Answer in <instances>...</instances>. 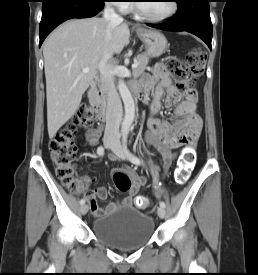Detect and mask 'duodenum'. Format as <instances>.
<instances>
[{
    "mask_svg": "<svg viewBox=\"0 0 258 275\" xmlns=\"http://www.w3.org/2000/svg\"><path fill=\"white\" fill-rule=\"evenodd\" d=\"M132 91L136 96H140V88L139 87H132ZM101 98V93L97 88L96 82L94 79H92L89 82V87H88V103L91 106L92 110L94 111L97 119L100 122H105L107 112H106V107L100 100Z\"/></svg>",
    "mask_w": 258,
    "mask_h": 275,
    "instance_id": "1",
    "label": "duodenum"
}]
</instances>
